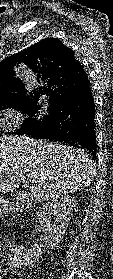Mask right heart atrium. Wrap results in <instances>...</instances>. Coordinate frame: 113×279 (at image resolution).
Listing matches in <instances>:
<instances>
[{
    "label": "right heart atrium",
    "instance_id": "d8ad5b80",
    "mask_svg": "<svg viewBox=\"0 0 113 279\" xmlns=\"http://www.w3.org/2000/svg\"><path fill=\"white\" fill-rule=\"evenodd\" d=\"M24 120L25 113L16 106H8L0 113V127L6 132L17 130Z\"/></svg>",
    "mask_w": 113,
    "mask_h": 279
}]
</instances>
